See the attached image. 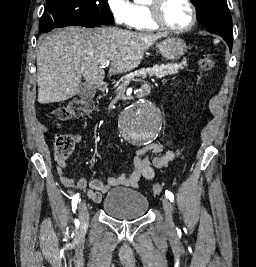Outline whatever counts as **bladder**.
I'll return each mask as SVG.
<instances>
[{
    "label": "bladder",
    "instance_id": "bladder-1",
    "mask_svg": "<svg viewBox=\"0 0 256 267\" xmlns=\"http://www.w3.org/2000/svg\"><path fill=\"white\" fill-rule=\"evenodd\" d=\"M148 199L139 191L114 188L104 198L102 208L119 219H132L144 215Z\"/></svg>",
    "mask_w": 256,
    "mask_h": 267
}]
</instances>
